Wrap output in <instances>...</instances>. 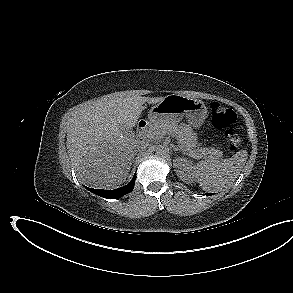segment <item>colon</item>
<instances>
[{
    "mask_svg": "<svg viewBox=\"0 0 293 293\" xmlns=\"http://www.w3.org/2000/svg\"><path fill=\"white\" fill-rule=\"evenodd\" d=\"M211 108V122L216 129L225 130L227 146L231 151H236L242 144L239 134L230 127L236 122V113L217 102H213Z\"/></svg>",
    "mask_w": 293,
    "mask_h": 293,
    "instance_id": "1",
    "label": "colon"
}]
</instances>
